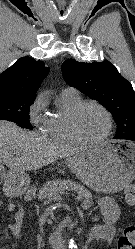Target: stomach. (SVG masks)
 Listing matches in <instances>:
<instances>
[{"label":"stomach","mask_w":135,"mask_h":249,"mask_svg":"<svg viewBox=\"0 0 135 249\" xmlns=\"http://www.w3.org/2000/svg\"><path fill=\"white\" fill-rule=\"evenodd\" d=\"M66 164L92 190L117 193L135 178V144L106 141L68 157ZM11 176L16 184L24 186L28 183L24 173L13 172Z\"/></svg>","instance_id":"obj_1"}]
</instances>
